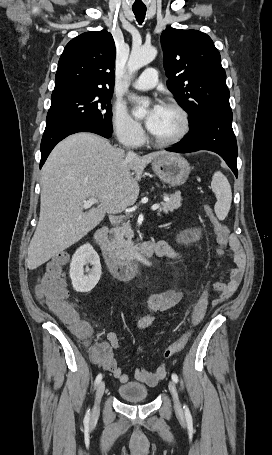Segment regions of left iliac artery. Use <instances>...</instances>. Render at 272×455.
<instances>
[{
	"instance_id": "1",
	"label": "left iliac artery",
	"mask_w": 272,
	"mask_h": 455,
	"mask_svg": "<svg viewBox=\"0 0 272 455\" xmlns=\"http://www.w3.org/2000/svg\"><path fill=\"white\" fill-rule=\"evenodd\" d=\"M172 380H173L175 383L178 382V376H177V374H175V373L172 374ZM184 411H185V415H186V416H189V415H190L189 409H188V407H187L186 405H184Z\"/></svg>"
}]
</instances>
